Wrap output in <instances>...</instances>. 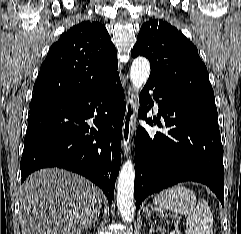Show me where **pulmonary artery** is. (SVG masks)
Here are the masks:
<instances>
[{
  "label": "pulmonary artery",
  "instance_id": "obj_1",
  "mask_svg": "<svg viewBox=\"0 0 241 234\" xmlns=\"http://www.w3.org/2000/svg\"><path fill=\"white\" fill-rule=\"evenodd\" d=\"M155 107L157 108V107H158V105L156 104V105H155Z\"/></svg>",
  "mask_w": 241,
  "mask_h": 234
}]
</instances>
